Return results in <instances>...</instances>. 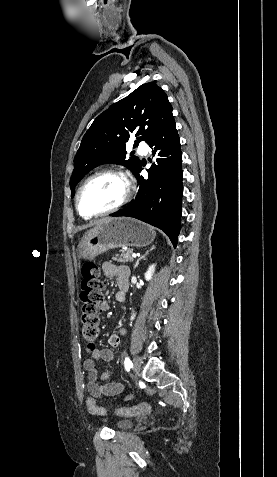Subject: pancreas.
<instances>
[{
    "label": "pancreas",
    "instance_id": "pancreas-1",
    "mask_svg": "<svg viewBox=\"0 0 277 477\" xmlns=\"http://www.w3.org/2000/svg\"><path fill=\"white\" fill-rule=\"evenodd\" d=\"M132 251L127 250V251H122L120 255H116L113 257V260L120 262V263H125V262H132L133 257L131 256Z\"/></svg>",
    "mask_w": 277,
    "mask_h": 477
}]
</instances>
